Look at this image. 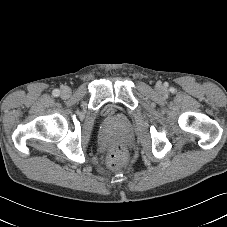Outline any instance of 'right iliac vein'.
Returning a JSON list of instances; mask_svg holds the SVG:
<instances>
[{
    "instance_id": "right-iliac-vein-1",
    "label": "right iliac vein",
    "mask_w": 227,
    "mask_h": 227,
    "mask_svg": "<svg viewBox=\"0 0 227 227\" xmlns=\"http://www.w3.org/2000/svg\"><path fill=\"white\" fill-rule=\"evenodd\" d=\"M61 95H62V97H64V98L68 97V96L70 95V89L67 88V87L63 88V90H62V92H61Z\"/></svg>"
}]
</instances>
